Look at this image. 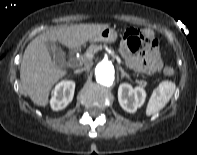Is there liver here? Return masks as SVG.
<instances>
[{"label": "liver", "instance_id": "obj_1", "mask_svg": "<svg viewBox=\"0 0 197 155\" xmlns=\"http://www.w3.org/2000/svg\"><path fill=\"white\" fill-rule=\"evenodd\" d=\"M107 27L108 24L58 27L42 33L28 44L21 62L20 80L34 104L46 106L51 88L67 73L52 62L46 43L58 41L68 48L80 47Z\"/></svg>", "mask_w": 197, "mask_h": 155}]
</instances>
